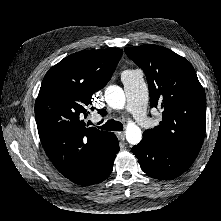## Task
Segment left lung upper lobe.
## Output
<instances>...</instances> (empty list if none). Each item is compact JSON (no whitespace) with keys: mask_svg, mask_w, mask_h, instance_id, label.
<instances>
[{"mask_svg":"<svg viewBox=\"0 0 221 221\" xmlns=\"http://www.w3.org/2000/svg\"><path fill=\"white\" fill-rule=\"evenodd\" d=\"M125 52L146 74L151 107L162 111L159 125L146 130L141 142L169 144L197 157L205 136L206 96L192 65L157 45Z\"/></svg>","mask_w":221,"mask_h":221,"instance_id":"left-lung-upper-lobe-1","label":"left lung upper lobe"}]
</instances>
